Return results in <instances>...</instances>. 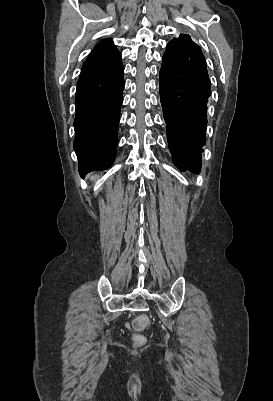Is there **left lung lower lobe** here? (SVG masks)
Instances as JSON below:
<instances>
[{"mask_svg": "<svg viewBox=\"0 0 273 401\" xmlns=\"http://www.w3.org/2000/svg\"><path fill=\"white\" fill-rule=\"evenodd\" d=\"M159 87L172 160L182 172L199 173L211 88L201 48L190 36L167 44Z\"/></svg>", "mask_w": 273, "mask_h": 401, "instance_id": "left-lung-lower-lobe-1", "label": "left lung lower lobe"}]
</instances>
